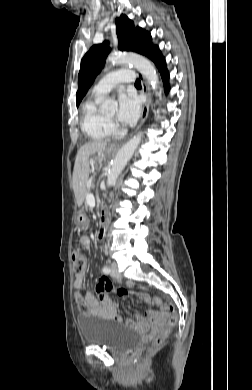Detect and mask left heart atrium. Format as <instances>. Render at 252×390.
<instances>
[{
    "label": "left heart atrium",
    "instance_id": "39dd6f15",
    "mask_svg": "<svg viewBox=\"0 0 252 390\" xmlns=\"http://www.w3.org/2000/svg\"><path fill=\"white\" fill-rule=\"evenodd\" d=\"M139 113L140 103L138 99L134 95L121 93L118 97V121L125 125L133 124Z\"/></svg>",
    "mask_w": 252,
    "mask_h": 390
}]
</instances>
